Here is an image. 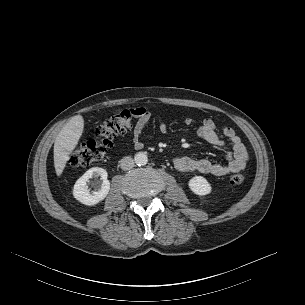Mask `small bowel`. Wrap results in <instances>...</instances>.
Wrapping results in <instances>:
<instances>
[{"label":"small bowel","mask_w":305,"mask_h":305,"mask_svg":"<svg viewBox=\"0 0 305 305\" xmlns=\"http://www.w3.org/2000/svg\"><path fill=\"white\" fill-rule=\"evenodd\" d=\"M137 122L133 128V143L135 147H142L141 134L151 118V113L145 107H136L130 110ZM193 118L187 117L184 123L187 126L193 124ZM158 129L161 133L168 131V122L161 120L158 124ZM198 136L207 143L218 147L225 148L227 142L222 139L215 130V123L210 118L202 120L201 125L197 130ZM223 135L231 145L227 153V163L219 164L206 159H194L188 156H177L173 159L174 167L181 172H199L213 176H227L233 173L240 172L246 167L249 158V152L242 143L240 137L231 127L223 129Z\"/></svg>","instance_id":"c3829d8e"}]
</instances>
